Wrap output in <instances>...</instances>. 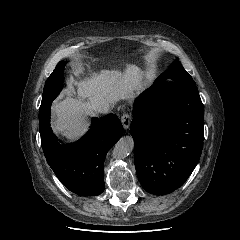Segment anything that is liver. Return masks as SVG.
<instances>
[{
	"mask_svg": "<svg viewBox=\"0 0 240 240\" xmlns=\"http://www.w3.org/2000/svg\"><path fill=\"white\" fill-rule=\"evenodd\" d=\"M150 75L135 65H127L123 73L119 71L103 70L93 74L91 78L74 81L79 100L66 97L55 100L52 110L56 119L52 125L55 130L67 138H76L86 129V115L91 113L89 103L94 99L106 100L110 103L133 96L134 91L144 89ZM88 98L90 102H82Z\"/></svg>",
	"mask_w": 240,
	"mask_h": 240,
	"instance_id": "1",
	"label": "liver"
}]
</instances>
